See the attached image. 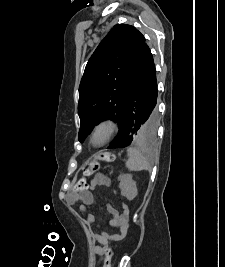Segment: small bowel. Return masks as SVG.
I'll return each instance as SVG.
<instances>
[{
	"instance_id": "c3829d8e",
	"label": "small bowel",
	"mask_w": 225,
	"mask_h": 267,
	"mask_svg": "<svg viewBox=\"0 0 225 267\" xmlns=\"http://www.w3.org/2000/svg\"><path fill=\"white\" fill-rule=\"evenodd\" d=\"M98 187L112 188L111 179L106 175L98 174L92 180L89 190L80 194L71 193L67 196V201L72 205H75L78 201H82L83 204L78 205V210L81 213H87L88 205L93 204L94 201L92 192ZM106 210L111 216L110 224L118 228L119 233L111 235L107 231H104L100 225H95V228L98 231L92 232V238L99 243V245L95 246L94 248V251L98 256H103L112 242H118L122 240L128 233V206L123 203L121 211H118L112 206H107ZM87 218L90 223L94 222V217L92 214H88Z\"/></svg>"
}]
</instances>
